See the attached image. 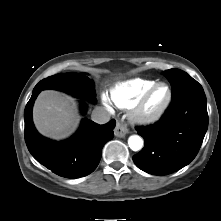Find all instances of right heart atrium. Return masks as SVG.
<instances>
[{"instance_id":"right-heart-atrium-1","label":"right heart atrium","mask_w":221,"mask_h":221,"mask_svg":"<svg viewBox=\"0 0 221 221\" xmlns=\"http://www.w3.org/2000/svg\"><path fill=\"white\" fill-rule=\"evenodd\" d=\"M103 102L105 105L109 106V100H108L107 96H105V95L103 96Z\"/></svg>"}]
</instances>
